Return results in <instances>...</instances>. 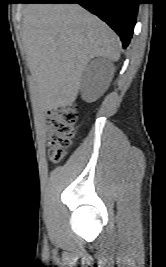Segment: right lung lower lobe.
<instances>
[{
  "instance_id": "1",
  "label": "right lung lower lobe",
  "mask_w": 166,
  "mask_h": 267,
  "mask_svg": "<svg viewBox=\"0 0 166 267\" xmlns=\"http://www.w3.org/2000/svg\"><path fill=\"white\" fill-rule=\"evenodd\" d=\"M22 3H78L105 21L126 48L136 23L139 0H23Z\"/></svg>"
}]
</instances>
